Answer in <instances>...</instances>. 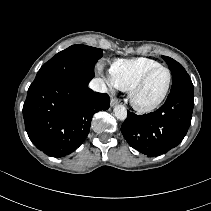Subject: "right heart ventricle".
<instances>
[{"mask_svg":"<svg viewBox=\"0 0 211 211\" xmlns=\"http://www.w3.org/2000/svg\"><path fill=\"white\" fill-rule=\"evenodd\" d=\"M157 65V61L144 57L119 59L110 67V78L116 88L129 91L148 69Z\"/></svg>","mask_w":211,"mask_h":211,"instance_id":"right-heart-ventricle-1","label":"right heart ventricle"}]
</instances>
